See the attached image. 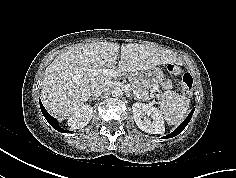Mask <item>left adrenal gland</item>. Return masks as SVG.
<instances>
[{
  "label": "left adrenal gland",
  "instance_id": "left-adrenal-gland-1",
  "mask_svg": "<svg viewBox=\"0 0 236 178\" xmlns=\"http://www.w3.org/2000/svg\"><path fill=\"white\" fill-rule=\"evenodd\" d=\"M132 98L136 101H140V98L136 97L135 95H132Z\"/></svg>",
  "mask_w": 236,
  "mask_h": 178
}]
</instances>
